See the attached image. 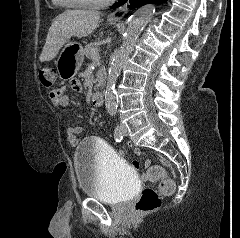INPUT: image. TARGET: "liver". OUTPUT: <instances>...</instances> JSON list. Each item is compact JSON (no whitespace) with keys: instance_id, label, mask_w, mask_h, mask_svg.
I'll list each match as a JSON object with an SVG mask.
<instances>
[{"instance_id":"6515ba94","label":"liver","mask_w":240,"mask_h":238,"mask_svg":"<svg viewBox=\"0 0 240 238\" xmlns=\"http://www.w3.org/2000/svg\"><path fill=\"white\" fill-rule=\"evenodd\" d=\"M100 22V13L90 10H67L54 19L49 28L40 61L54 59L72 36L78 38L91 34Z\"/></svg>"}]
</instances>
